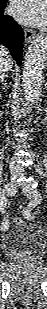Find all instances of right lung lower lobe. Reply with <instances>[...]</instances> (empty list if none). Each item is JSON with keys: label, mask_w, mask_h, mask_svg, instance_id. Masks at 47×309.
Segmentation results:
<instances>
[{"label": "right lung lower lobe", "mask_w": 47, "mask_h": 309, "mask_svg": "<svg viewBox=\"0 0 47 309\" xmlns=\"http://www.w3.org/2000/svg\"><path fill=\"white\" fill-rule=\"evenodd\" d=\"M6 2V0H0V44L5 45L17 64L21 65L23 30L12 17L3 14Z\"/></svg>", "instance_id": "1"}]
</instances>
